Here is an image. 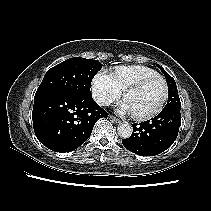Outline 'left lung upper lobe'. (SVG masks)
Masks as SVG:
<instances>
[{
  "label": "left lung upper lobe",
  "instance_id": "5c2ea615",
  "mask_svg": "<svg viewBox=\"0 0 211 211\" xmlns=\"http://www.w3.org/2000/svg\"><path fill=\"white\" fill-rule=\"evenodd\" d=\"M160 70L165 75L168 85H169V96H168V102L164 109L169 108H181V102L177 91V86L175 83V80L160 66L158 65Z\"/></svg>",
  "mask_w": 211,
  "mask_h": 211
}]
</instances>
